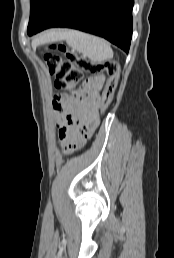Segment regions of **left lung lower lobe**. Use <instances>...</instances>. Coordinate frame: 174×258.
Wrapping results in <instances>:
<instances>
[{
    "label": "left lung lower lobe",
    "instance_id": "obj_1",
    "mask_svg": "<svg viewBox=\"0 0 174 258\" xmlns=\"http://www.w3.org/2000/svg\"><path fill=\"white\" fill-rule=\"evenodd\" d=\"M134 0H58L32 36L52 27L101 36L128 53Z\"/></svg>",
    "mask_w": 174,
    "mask_h": 258
}]
</instances>
